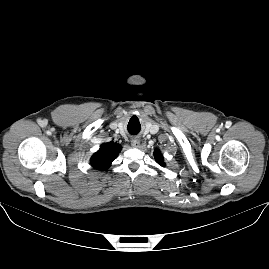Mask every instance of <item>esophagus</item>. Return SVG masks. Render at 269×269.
Listing matches in <instances>:
<instances>
[{"label": "esophagus", "mask_w": 269, "mask_h": 269, "mask_svg": "<svg viewBox=\"0 0 269 269\" xmlns=\"http://www.w3.org/2000/svg\"><path fill=\"white\" fill-rule=\"evenodd\" d=\"M140 144H141V141L138 138H134L131 140V146L134 148H138Z\"/></svg>", "instance_id": "1"}]
</instances>
